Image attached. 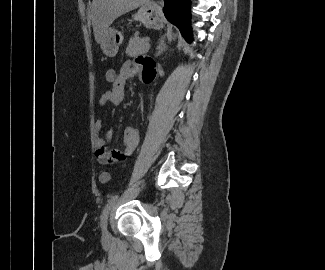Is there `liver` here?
Here are the masks:
<instances>
[{
	"label": "liver",
	"mask_w": 325,
	"mask_h": 270,
	"mask_svg": "<svg viewBox=\"0 0 325 270\" xmlns=\"http://www.w3.org/2000/svg\"><path fill=\"white\" fill-rule=\"evenodd\" d=\"M146 3L148 0H93L92 26L96 42L102 44L109 26L116 18Z\"/></svg>",
	"instance_id": "obj_1"
}]
</instances>
